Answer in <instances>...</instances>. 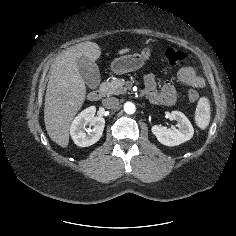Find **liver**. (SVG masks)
Wrapping results in <instances>:
<instances>
[{
    "label": "liver",
    "mask_w": 236,
    "mask_h": 236,
    "mask_svg": "<svg viewBox=\"0 0 236 236\" xmlns=\"http://www.w3.org/2000/svg\"><path fill=\"white\" fill-rule=\"evenodd\" d=\"M129 51V48H124L118 54ZM100 56L99 45L86 41L66 49L51 65L45 95L44 122L50 139L63 148L69 144L70 124L86 97V86L79 73L77 60L87 57L95 62Z\"/></svg>",
    "instance_id": "6515ba94"
}]
</instances>
